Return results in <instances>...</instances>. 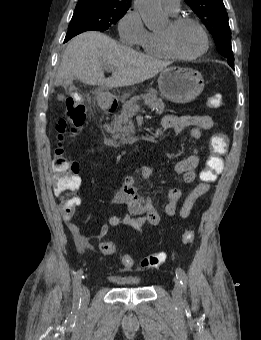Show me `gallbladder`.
Here are the masks:
<instances>
[{
    "label": "gallbladder",
    "instance_id": "obj_1",
    "mask_svg": "<svg viewBox=\"0 0 261 340\" xmlns=\"http://www.w3.org/2000/svg\"><path fill=\"white\" fill-rule=\"evenodd\" d=\"M71 83H68V84H62L63 87H67L69 86Z\"/></svg>",
    "mask_w": 261,
    "mask_h": 340
}]
</instances>
